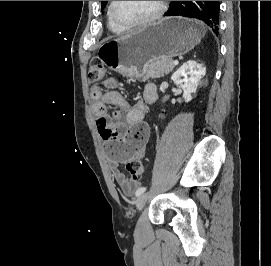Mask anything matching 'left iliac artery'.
Masks as SVG:
<instances>
[{
    "mask_svg": "<svg viewBox=\"0 0 271 266\" xmlns=\"http://www.w3.org/2000/svg\"><path fill=\"white\" fill-rule=\"evenodd\" d=\"M146 187H140L137 191H136V196H140L142 195L145 191H146Z\"/></svg>",
    "mask_w": 271,
    "mask_h": 266,
    "instance_id": "left-iliac-artery-1",
    "label": "left iliac artery"
}]
</instances>
